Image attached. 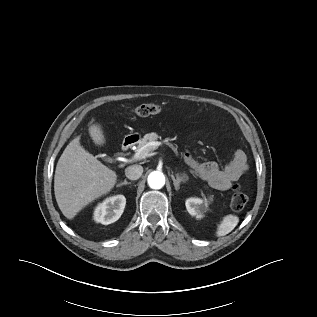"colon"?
<instances>
[{"mask_svg": "<svg viewBox=\"0 0 317 317\" xmlns=\"http://www.w3.org/2000/svg\"><path fill=\"white\" fill-rule=\"evenodd\" d=\"M162 107L156 103H147L137 106L134 109V114L139 117H147L160 113ZM249 196L245 193L239 184L233 186V193L231 196V208L235 211L242 210L248 203Z\"/></svg>", "mask_w": 317, "mask_h": 317, "instance_id": "colon-1", "label": "colon"}]
</instances>
